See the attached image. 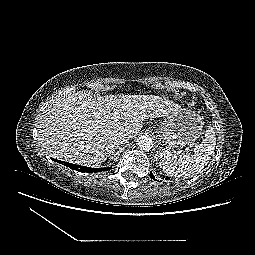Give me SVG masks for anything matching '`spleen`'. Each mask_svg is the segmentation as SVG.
<instances>
[{"label":"spleen","instance_id":"obj_1","mask_svg":"<svg viewBox=\"0 0 255 255\" xmlns=\"http://www.w3.org/2000/svg\"><path fill=\"white\" fill-rule=\"evenodd\" d=\"M216 145L214 128L209 125L205 139L194 153L164 150L160 154V166L171 176L188 177L199 173L211 159Z\"/></svg>","mask_w":255,"mask_h":255}]
</instances>
